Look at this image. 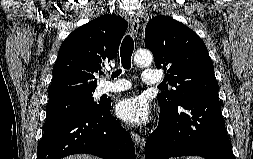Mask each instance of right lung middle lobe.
Segmentation results:
<instances>
[{
    "label": "right lung middle lobe",
    "mask_w": 253,
    "mask_h": 159,
    "mask_svg": "<svg viewBox=\"0 0 253 159\" xmlns=\"http://www.w3.org/2000/svg\"><path fill=\"white\" fill-rule=\"evenodd\" d=\"M92 95L93 91L49 100L47 104V119L44 124V130L56 125L75 113L82 111H96L100 109L104 102H94Z\"/></svg>",
    "instance_id": "dd1d6c3e"
}]
</instances>
